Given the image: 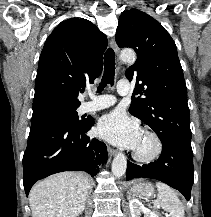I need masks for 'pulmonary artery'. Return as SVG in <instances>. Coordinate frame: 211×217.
<instances>
[{
    "instance_id": "1",
    "label": "pulmonary artery",
    "mask_w": 211,
    "mask_h": 217,
    "mask_svg": "<svg viewBox=\"0 0 211 217\" xmlns=\"http://www.w3.org/2000/svg\"><path fill=\"white\" fill-rule=\"evenodd\" d=\"M130 90H131L130 82L128 80L121 79L118 81L117 92L119 95L121 96L128 95L130 93ZM88 96L90 97L91 100L81 105V111L84 113L108 108L116 102L115 97L112 95L95 96L89 93Z\"/></svg>"
}]
</instances>
